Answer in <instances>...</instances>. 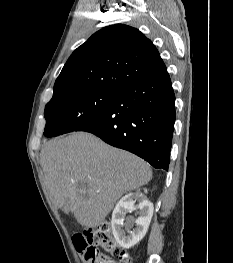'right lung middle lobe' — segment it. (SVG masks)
Returning a JSON list of instances; mask_svg holds the SVG:
<instances>
[{
    "label": "right lung middle lobe",
    "mask_w": 233,
    "mask_h": 263,
    "mask_svg": "<svg viewBox=\"0 0 233 263\" xmlns=\"http://www.w3.org/2000/svg\"><path fill=\"white\" fill-rule=\"evenodd\" d=\"M116 93L101 89H85L53 96L45 107L44 135L53 137L75 131L101 114Z\"/></svg>",
    "instance_id": "dd1d6c3e"
}]
</instances>
